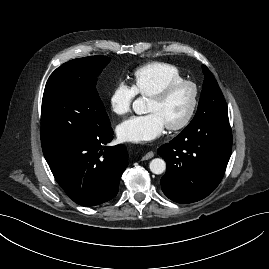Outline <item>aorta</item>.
I'll list each match as a JSON object with an SVG mask.
<instances>
[{"label":"aorta","mask_w":269,"mask_h":269,"mask_svg":"<svg viewBox=\"0 0 269 269\" xmlns=\"http://www.w3.org/2000/svg\"><path fill=\"white\" fill-rule=\"evenodd\" d=\"M133 110L136 114H143L146 112V98L139 97L133 102ZM149 168L154 174H162L166 170V163L161 158L151 160Z\"/></svg>","instance_id":"aorta-1"}]
</instances>
